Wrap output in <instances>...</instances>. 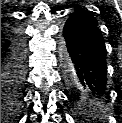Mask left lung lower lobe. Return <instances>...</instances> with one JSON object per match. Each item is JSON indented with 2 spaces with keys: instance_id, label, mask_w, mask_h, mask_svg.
Returning a JSON list of instances; mask_svg holds the SVG:
<instances>
[{
  "instance_id": "obj_1",
  "label": "left lung lower lobe",
  "mask_w": 122,
  "mask_h": 123,
  "mask_svg": "<svg viewBox=\"0 0 122 123\" xmlns=\"http://www.w3.org/2000/svg\"><path fill=\"white\" fill-rule=\"evenodd\" d=\"M64 81L72 95L88 100L106 96V48L101 31L85 17L72 14L61 39Z\"/></svg>"
}]
</instances>
